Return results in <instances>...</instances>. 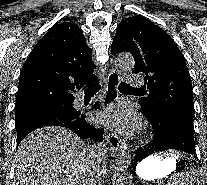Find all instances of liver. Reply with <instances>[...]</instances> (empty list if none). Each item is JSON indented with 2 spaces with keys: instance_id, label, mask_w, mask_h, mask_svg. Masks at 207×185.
Segmentation results:
<instances>
[{
  "instance_id": "obj_1",
  "label": "liver",
  "mask_w": 207,
  "mask_h": 185,
  "mask_svg": "<svg viewBox=\"0 0 207 185\" xmlns=\"http://www.w3.org/2000/svg\"><path fill=\"white\" fill-rule=\"evenodd\" d=\"M94 157V147L70 129H36L15 153L13 185H87Z\"/></svg>"
}]
</instances>
